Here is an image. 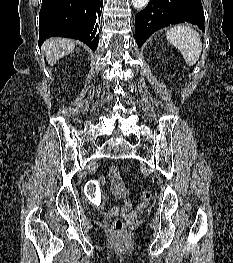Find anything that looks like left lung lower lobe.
Segmentation results:
<instances>
[{
    "mask_svg": "<svg viewBox=\"0 0 233 263\" xmlns=\"http://www.w3.org/2000/svg\"><path fill=\"white\" fill-rule=\"evenodd\" d=\"M204 19L200 0H150L135 16L137 45L141 47L152 33L171 24L190 22L204 31Z\"/></svg>",
    "mask_w": 233,
    "mask_h": 263,
    "instance_id": "0a47b994",
    "label": "left lung lower lobe"
}]
</instances>
